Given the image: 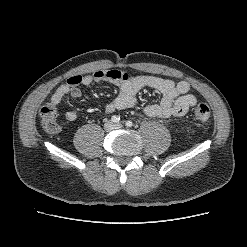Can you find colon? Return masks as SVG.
<instances>
[{"mask_svg": "<svg viewBox=\"0 0 247 247\" xmlns=\"http://www.w3.org/2000/svg\"><path fill=\"white\" fill-rule=\"evenodd\" d=\"M57 107L52 104L44 105L40 110V117L44 128L48 132H55L58 129L56 122ZM211 110L208 105L204 103L197 104L194 108V118L198 122H205L210 118Z\"/></svg>", "mask_w": 247, "mask_h": 247, "instance_id": "colon-1", "label": "colon"}]
</instances>
